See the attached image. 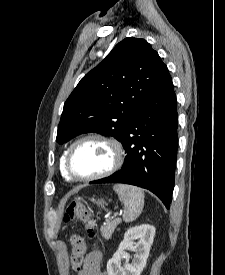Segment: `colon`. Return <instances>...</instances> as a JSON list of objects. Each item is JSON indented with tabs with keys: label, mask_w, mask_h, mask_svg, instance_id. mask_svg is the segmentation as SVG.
<instances>
[{
	"label": "colon",
	"mask_w": 225,
	"mask_h": 275,
	"mask_svg": "<svg viewBox=\"0 0 225 275\" xmlns=\"http://www.w3.org/2000/svg\"><path fill=\"white\" fill-rule=\"evenodd\" d=\"M63 220L65 222L79 220L85 224L89 237L95 235V219L85 203L80 200L74 199L68 203L63 215ZM70 244L72 247L70 255L71 266L75 270H80L85 252L83 238L77 234H73L70 237Z\"/></svg>",
	"instance_id": "colon-1"
}]
</instances>
